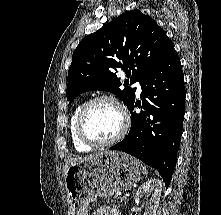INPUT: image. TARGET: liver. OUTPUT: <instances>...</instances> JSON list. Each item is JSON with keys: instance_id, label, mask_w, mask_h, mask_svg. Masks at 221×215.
<instances>
[{"instance_id": "liver-1", "label": "liver", "mask_w": 221, "mask_h": 215, "mask_svg": "<svg viewBox=\"0 0 221 215\" xmlns=\"http://www.w3.org/2000/svg\"><path fill=\"white\" fill-rule=\"evenodd\" d=\"M95 156H97V155H91V156H88V157H79V158H69V159L66 161L65 166H64V169H63L64 175H66L67 169H68V167H69L70 165H72V164H74V163H77V162H79V161H82V160H84V159L93 158V157H95Z\"/></svg>"}]
</instances>
